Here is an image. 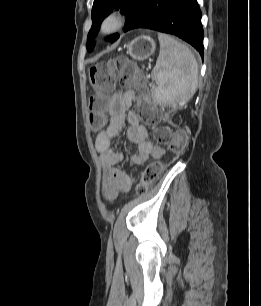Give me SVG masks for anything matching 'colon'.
I'll use <instances>...</instances> for the list:
<instances>
[{
  "mask_svg": "<svg viewBox=\"0 0 261 306\" xmlns=\"http://www.w3.org/2000/svg\"><path fill=\"white\" fill-rule=\"evenodd\" d=\"M127 93L140 102L139 115L147 124H157V110L149 103V91L143 84L138 67L125 57L111 59L92 66L89 70V85L93 92L89 99L90 122L95 127L103 125L102 115L107 106V95L113 90L116 81ZM154 138L159 143L168 146L170 152L180 154L187 142L184 131L171 132L168 128L159 127L154 131ZM165 162L156 159L149 162L141 173L137 186L140 195L145 194L148 185L153 182L163 169Z\"/></svg>",
  "mask_w": 261,
  "mask_h": 306,
  "instance_id": "5ec220e1",
  "label": "colon"
}]
</instances>
